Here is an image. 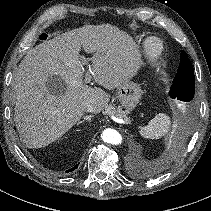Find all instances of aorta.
<instances>
[{
	"instance_id": "obj_1",
	"label": "aorta",
	"mask_w": 211,
	"mask_h": 211,
	"mask_svg": "<svg viewBox=\"0 0 211 211\" xmlns=\"http://www.w3.org/2000/svg\"><path fill=\"white\" fill-rule=\"evenodd\" d=\"M102 139L104 142L119 145L122 143V136L115 129L107 128L102 132Z\"/></svg>"
}]
</instances>
